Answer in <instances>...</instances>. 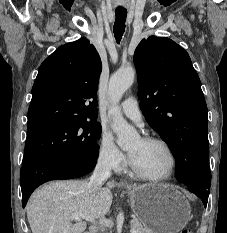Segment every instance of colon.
Wrapping results in <instances>:
<instances>
[{"instance_id":"1","label":"colon","mask_w":227,"mask_h":233,"mask_svg":"<svg viewBox=\"0 0 227 233\" xmlns=\"http://www.w3.org/2000/svg\"><path fill=\"white\" fill-rule=\"evenodd\" d=\"M179 233H192V231L190 229H182Z\"/></svg>"}]
</instances>
